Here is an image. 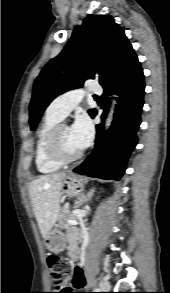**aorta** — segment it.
Wrapping results in <instances>:
<instances>
[{"label": "aorta", "instance_id": "obj_1", "mask_svg": "<svg viewBox=\"0 0 170 293\" xmlns=\"http://www.w3.org/2000/svg\"><path fill=\"white\" fill-rule=\"evenodd\" d=\"M115 97V96H114ZM115 104H116V101L113 100V103H112V106H111V109H110V112H109V115H108V118L106 120V128H108L112 122V116H113V113H114V107H115Z\"/></svg>", "mask_w": 170, "mask_h": 293}]
</instances>
